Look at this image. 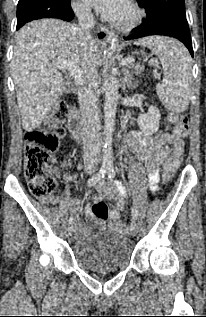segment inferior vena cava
Listing matches in <instances>:
<instances>
[{
    "label": "inferior vena cava",
    "mask_w": 206,
    "mask_h": 317,
    "mask_svg": "<svg viewBox=\"0 0 206 317\" xmlns=\"http://www.w3.org/2000/svg\"><path fill=\"white\" fill-rule=\"evenodd\" d=\"M75 13L79 21L77 36L79 43L85 47L88 56L84 69L87 83L78 89V99L82 116L83 126V158L86 168L95 169L99 162L101 143H100V120L96 106V95L94 92L97 71L93 60L90 58L92 43L94 41L90 34V29L95 25L91 8L87 4L78 5Z\"/></svg>",
    "instance_id": "obj_1"
}]
</instances>
